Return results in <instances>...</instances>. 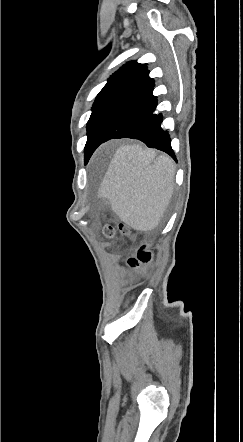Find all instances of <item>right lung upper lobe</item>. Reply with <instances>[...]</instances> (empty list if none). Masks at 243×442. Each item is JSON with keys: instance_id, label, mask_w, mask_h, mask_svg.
<instances>
[{"instance_id": "1", "label": "right lung upper lobe", "mask_w": 243, "mask_h": 442, "mask_svg": "<svg viewBox=\"0 0 243 442\" xmlns=\"http://www.w3.org/2000/svg\"><path fill=\"white\" fill-rule=\"evenodd\" d=\"M154 82L149 77L146 65L131 61L122 66L109 79L96 98L105 96L125 97L130 93Z\"/></svg>"}]
</instances>
